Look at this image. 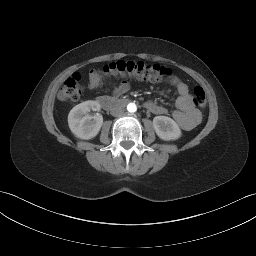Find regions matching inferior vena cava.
I'll use <instances>...</instances> for the list:
<instances>
[{
  "mask_svg": "<svg viewBox=\"0 0 256 256\" xmlns=\"http://www.w3.org/2000/svg\"><path fill=\"white\" fill-rule=\"evenodd\" d=\"M124 113V110L121 107H114L111 110V115L112 116H120Z\"/></svg>",
  "mask_w": 256,
  "mask_h": 256,
  "instance_id": "inferior-vena-cava-1",
  "label": "inferior vena cava"
}]
</instances>
